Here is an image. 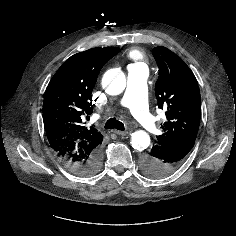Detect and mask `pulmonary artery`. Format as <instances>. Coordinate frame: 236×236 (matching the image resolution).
<instances>
[{
  "label": "pulmonary artery",
  "instance_id": "e3ab8cb5",
  "mask_svg": "<svg viewBox=\"0 0 236 236\" xmlns=\"http://www.w3.org/2000/svg\"><path fill=\"white\" fill-rule=\"evenodd\" d=\"M148 68L144 64L128 67V86L120 103L150 132L156 131L153 116L147 105Z\"/></svg>",
  "mask_w": 236,
  "mask_h": 236
}]
</instances>
